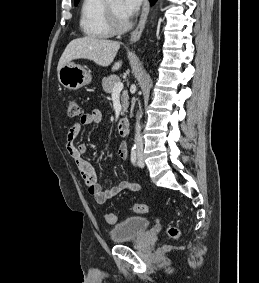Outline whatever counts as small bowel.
Masks as SVG:
<instances>
[{"instance_id": "obj_1", "label": "small bowel", "mask_w": 259, "mask_h": 283, "mask_svg": "<svg viewBox=\"0 0 259 283\" xmlns=\"http://www.w3.org/2000/svg\"><path fill=\"white\" fill-rule=\"evenodd\" d=\"M101 119V111L99 109H94L91 112L84 114L79 121L75 122L67 132L66 151L69 157L76 164L79 174L84 181L89 194L95 198L96 202L103 204L116 197L122 191H138L140 186L137 183L120 181L115 186L103 189L97 182L96 173L92 164L83 158V154L86 152L87 146L84 143L75 144V140L78 137L82 127L98 124L101 122ZM116 155L120 159L128 158V150L125 142L119 143Z\"/></svg>"}]
</instances>
